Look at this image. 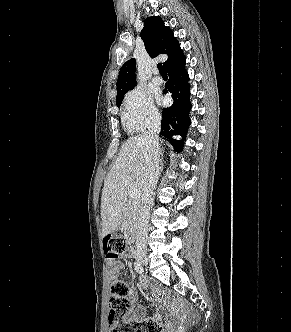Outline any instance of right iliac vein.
Masks as SVG:
<instances>
[{
	"label": "right iliac vein",
	"instance_id": "1",
	"mask_svg": "<svg viewBox=\"0 0 291 332\" xmlns=\"http://www.w3.org/2000/svg\"><path fill=\"white\" fill-rule=\"evenodd\" d=\"M138 261H139V263H141L143 265H147L148 264V259L146 257H139Z\"/></svg>",
	"mask_w": 291,
	"mask_h": 332
}]
</instances>
